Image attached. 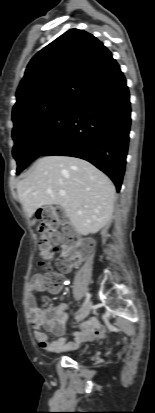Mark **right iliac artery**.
<instances>
[{
  "mask_svg": "<svg viewBox=\"0 0 155 413\" xmlns=\"http://www.w3.org/2000/svg\"><path fill=\"white\" fill-rule=\"evenodd\" d=\"M89 299H90V294L87 293L86 294V300H85V303H84L83 307L88 303Z\"/></svg>",
  "mask_w": 155,
  "mask_h": 413,
  "instance_id": "right-iliac-artery-1",
  "label": "right iliac artery"
}]
</instances>
